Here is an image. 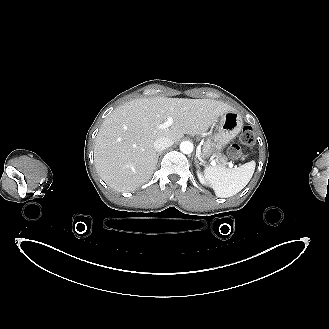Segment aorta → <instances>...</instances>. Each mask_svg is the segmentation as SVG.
Segmentation results:
<instances>
[{
    "mask_svg": "<svg viewBox=\"0 0 329 329\" xmlns=\"http://www.w3.org/2000/svg\"><path fill=\"white\" fill-rule=\"evenodd\" d=\"M180 151L184 154H190L193 152V143L190 141H183L180 144Z\"/></svg>",
    "mask_w": 329,
    "mask_h": 329,
    "instance_id": "aorta-1",
    "label": "aorta"
}]
</instances>
